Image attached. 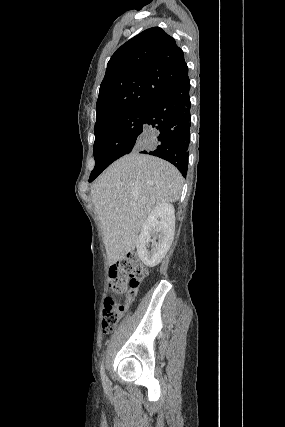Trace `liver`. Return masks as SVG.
<instances>
[{"instance_id": "liver-1", "label": "liver", "mask_w": 285, "mask_h": 427, "mask_svg": "<svg viewBox=\"0 0 285 427\" xmlns=\"http://www.w3.org/2000/svg\"><path fill=\"white\" fill-rule=\"evenodd\" d=\"M183 178L169 162L132 152L111 164L94 182L91 197L101 222L109 265L132 252L147 215L176 202Z\"/></svg>"}]
</instances>
